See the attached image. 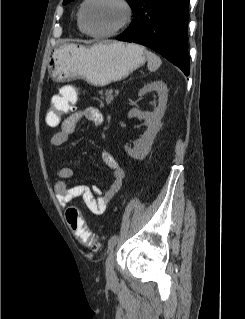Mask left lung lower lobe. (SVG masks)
I'll return each instance as SVG.
<instances>
[{"label": "left lung lower lobe", "instance_id": "left-lung-lower-lobe-1", "mask_svg": "<svg viewBox=\"0 0 245 319\" xmlns=\"http://www.w3.org/2000/svg\"><path fill=\"white\" fill-rule=\"evenodd\" d=\"M189 0H139L135 19L117 40L147 46L189 75Z\"/></svg>", "mask_w": 245, "mask_h": 319}]
</instances>
